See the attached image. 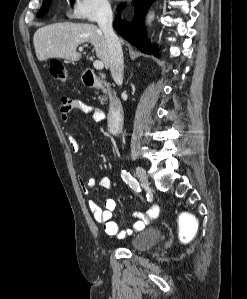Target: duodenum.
Segmentation results:
<instances>
[{"mask_svg": "<svg viewBox=\"0 0 247 299\" xmlns=\"http://www.w3.org/2000/svg\"><path fill=\"white\" fill-rule=\"evenodd\" d=\"M83 80L89 87H96L101 83V80L96 76V74L89 69L84 71ZM123 119V106L118 99H113L110 102L107 118V127L109 132L112 134L117 133L123 124Z\"/></svg>", "mask_w": 247, "mask_h": 299, "instance_id": "410a0bca", "label": "duodenum"}]
</instances>
